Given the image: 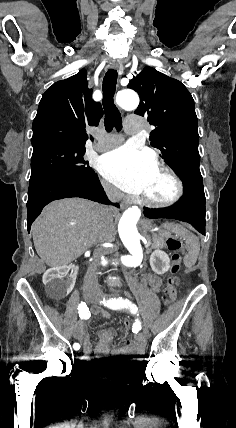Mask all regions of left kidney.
I'll return each instance as SVG.
<instances>
[{
	"mask_svg": "<svg viewBox=\"0 0 236 428\" xmlns=\"http://www.w3.org/2000/svg\"><path fill=\"white\" fill-rule=\"evenodd\" d=\"M150 266L155 274H165L170 268V258L162 250H155L150 256Z\"/></svg>",
	"mask_w": 236,
	"mask_h": 428,
	"instance_id": "5707ae66",
	"label": "left kidney"
}]
</instances>
